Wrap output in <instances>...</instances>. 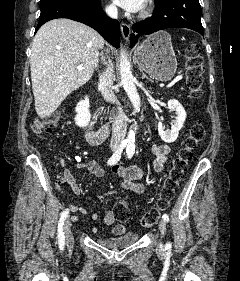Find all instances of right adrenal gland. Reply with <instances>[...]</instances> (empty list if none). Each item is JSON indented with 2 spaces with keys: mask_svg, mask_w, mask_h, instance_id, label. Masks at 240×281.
Returning <instances> with one entry per match:
<instances>
[{
  "mask_svg": "<svg viewBox=\"0 0 240 281\" xmlns=\"http://www.w3.org/2000/svg\"><path fill=\"white\" fill-rule=\"evenodd\" d=\"M101 60H102L103 64H105V57L103 56V53H101Z\"/></svg>",
  "mask_w": 240,
  "mask_h": 281,
  "instance_id": "2a0ac1e0",
  "label": "right adrenal gland"
}]
</instances>
